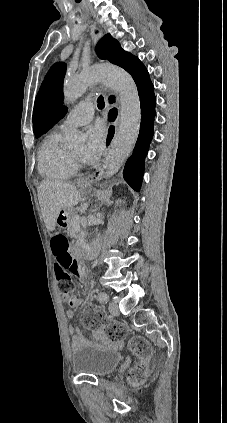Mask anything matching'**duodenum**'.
<instances>
[{"label":"duodenum","mask_w":227,"mask_h":423,"mask_svg":"<svg viewBox=\"0 0 227 423\" xmlns=\"http://www.w3.org/2000/svg\"><path fill=\"white\" fill-rule=\"evenodd\" d=\"M92 249H93V248H91V249H89V250L87 251V252H88V254L92 251Z\"/></svg>","instance_id":"obj_1"}]
</instances>
